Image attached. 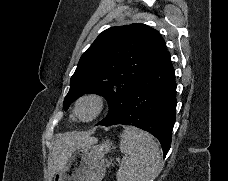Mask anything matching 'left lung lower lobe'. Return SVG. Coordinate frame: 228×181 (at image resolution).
Instances as JSON below:
<instances>
[{"instance_id":"left-lung-lower-lobe-1","label":"left lung lower lobe","mask_w":228,"mask_h":181,"mask_svg":"<svg viewBox=\"0 0 228 181\" xmlns=\"http://www.w3.org/2000/svg\"><path fill=\"white\" fill-rule=\"evenodd\" d=\"M176 82L170 54L166 50L141 75L124 116L112 124L132 125L155 136L167 155L175 123Z\"/></svg>"}]
</instances>
